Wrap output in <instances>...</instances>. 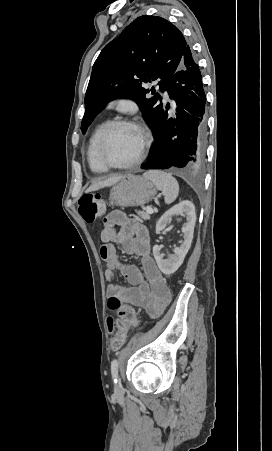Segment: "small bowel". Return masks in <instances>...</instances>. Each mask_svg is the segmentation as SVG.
Masks as SVG:
<instances>
[{
    "label": "small bowel",
    "instance_id": "c3829d8e",
    "mask_svg": "<svg viewBox=\"0 0 272 451\" xmlns=\"http://www.w3.org/2000/svg\"><path fill=\"white\" fill-rule=\"evenodd\" d=\"M100 257L105 262V279L112 282L120 273L127 285L109 284L107 295L120 302L145 309L151 316L161 314L171 301L172 295L164 277L151 255L148 230L142 224L112 211L104 218L100 234ZM120 245L129 255L139 257L140 264L123 262L116 249Z\"/></svg>",
    "mask_w": 272,
    "mask_h": 451
}]
</instances>
